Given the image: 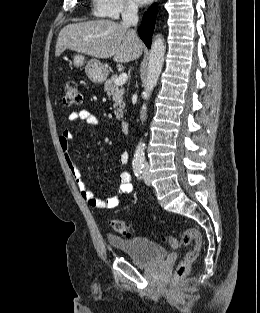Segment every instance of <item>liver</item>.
<instances>
[{
  "instance_id": "1",
  "label": "liver",
  "mask_w": 260,
  "mask_h": 313,
  "mask_svg": "<svg viewBox=\"0 0 260 313\" xmlns=\"http://www.w3.org/2000/svg\"><path fill=\"white\" fill-rule=\"evenodd\" d=\"M66 49L126 63L140 57L143 45L136 32L111 20H95L72 23L59 33L55 56Z\"/></svg>"
}]
</instances>
